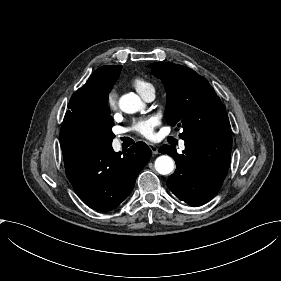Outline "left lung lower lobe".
<instances>
[{
  "instance_id": "1",
  "label": "left lung lower lobe",
  "mask_w": 281,
  "mask_h": 281,
  "mask_svg": "<svg viewBox=\"0 0 281 281\" xmlns=\"http://www.w3.org/2000/svg\"><path fill=\"white\" fill-rule=\"evenodd\" d=\"M184 141L183 154L168 145L159 149L176 161V170L168 178L167 186L181 201L200 206L211 200L223 184L230 166L232 137Z\"/></svg>"
}]
</instances>
